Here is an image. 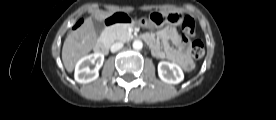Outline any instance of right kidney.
Segmentation results:
<instances>
[{
  "label": "right kidney",
  "instance_id": "1",
  "mask_svg": "<svg viewBox=\"0 0 276 120\" xmlns=\"http://www.w3.org/2000/svg\"><path fill=\"white\" fill-rule=\"evenodd\" d=\"M103 62L104 55L102 53H94L82 57L75 66V80L79 83H89L96 80ZM91 64L95 65L94 69H90L89 66Z\"/></svg>",
  "mask_w": 276,
  "mask_h": 120
}]
</instances>
